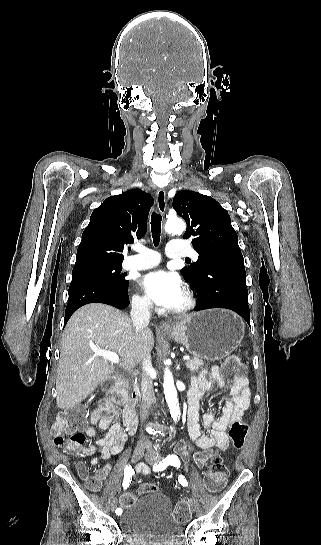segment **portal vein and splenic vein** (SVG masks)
<instances>
[{"mask_svg": "<svg viewBox=\"0 0 321 545\" xmlns=\"http://www.w3.org/2000/svg\"><path fill=\"white\" fill-rule=\"evenodd\" d=\"M95 355H100V357H104V359H107V361H111V363H119V357L117 353H110V351H97V349H94ZM190 355H184L183 360H189Z\"/></svg>", "mask_w": 321, "mask_h": 545, "instance_id": "obj_1", "label": "portal vein and splenic vein"}]
</instances>
